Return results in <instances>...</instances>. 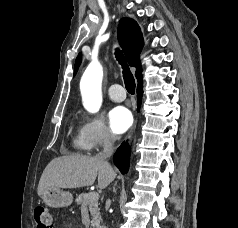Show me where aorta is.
I'll return each instance as SVG.
<instances>
[{
	"mask_svg": "<svg viewBox=\"0 0 238 228\" xmlns=\"http://www.w3.org/2000/svg\"><path fill=\"white\" fill-rule=\"evenodd\" d=\"M102 78V66L98 62L92 61L86 68L80 81L83 106L91 113L98 112L102 104Z\"/></svg>",
	"mask_w": 238,
	"mask_h": 228,
	"instance_id": "obj_1",
	"label": "aorta"
}]
</instances>
